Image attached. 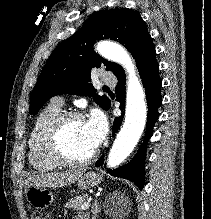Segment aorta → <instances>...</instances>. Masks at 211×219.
Segmentation results:
<instances>
[{"instance_id": "762f6f07", "label": "aorta", "mask_w": 211, "mask_h": 219, "mask_svg": "<svg viewBox=\"0 0 211 219\" xmlns=\"http://www.w3.org/2000/svg\"><path fill=\"white\" fill-rule=\"evenodd\" d=\"M96 50L102 57L121 64L128 72L125 122L108 156V166L114 168L129 156L143 133L147 116L145 94L132 59L123 47L105 41L99 43Z\"/></svg>"}]
</instances>
